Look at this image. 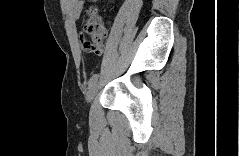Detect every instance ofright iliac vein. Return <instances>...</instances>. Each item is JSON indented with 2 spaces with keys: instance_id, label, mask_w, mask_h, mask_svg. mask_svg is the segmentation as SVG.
<instances>
[{
  "instance_id": "1",
  "label": "right iliac vein",
  "mask_w": 239,
  "mask_h": 156,
  "mask_svg": "<svg viewBox=\"0 0 239 156\" xmlns=\"http://www.w3.org/2000/svg\"><path fill=\"white\" fill-rule=\"evenodd\" d=\"M99 87H100V84L98 82L94 83L90 87L88 95H87V103H90L93 100L94 96L96 95V93L99 90Z\"/></svg>"
}]
</instances>
